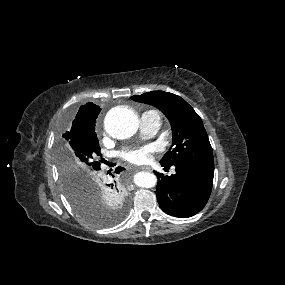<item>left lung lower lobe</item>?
<instances>
[{
	"label": "left lung lower lobe",
	"instance_id": "0a47b994",
	"mask_svg": "<svg viewBox=\"0 0 285 285\" xmlns=\"http://www.w3.org/2000/svg\"><path fill=\"white\" fill-rule=\"evenodd\" d=\"M175 167L176 174L171 176L156 173L157 200L165 213L188 218L202 210L209 199L214 164H183Z\"/></svg>",
	"mask_w": 285,
	"mask_h": 285
}]
</instances>
